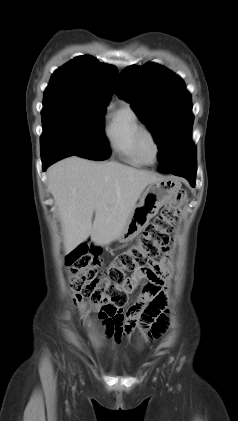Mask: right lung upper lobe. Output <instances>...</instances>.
Masks as SVG:
<instances>
[{"label":"right lung upper lobe","mask_w":238,"mask_h":421,"mask_svg":"<svg viewBox=\"0 0 238 421\" xmlns=\"http://www.w3.org/2000/svg\"><path fill=\"white\" fill-rule=\"evenodd\" d=\"M117 78L118 70L114 66L90 55L79 56L54 72L45 92L108 102Z\"/></svg>","instance_id":"right-lung-upper-lobe-1"}]
</instances>
